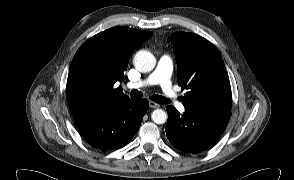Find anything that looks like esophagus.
<instances>
[{
	"label": "esophagus",
	"mask_w": 294,
	"mask_h": 180,
	"mask_svg": "<svg viewBox=\"0 0 294 180\" xmlns=\"http://www.w3.org/2000/svg\"><path fill=\"white\" fill-rule=\"evenodd\" d=\"M149 107H150V108H159L160 105L157 104V103H155V102H153V101H150V102H149Z\"/></svg>",
	"instance_id": "esophagus-1"
}]
</instances>
